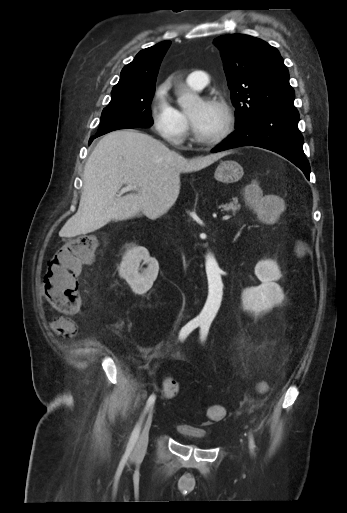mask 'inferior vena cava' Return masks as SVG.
<instances>
[{"instance_id": "602c4592", "label": "inferior vena cava", "mask_w": 347, "mask_h": 513, "mask_svg": "<svg viewBox=\"0 0 347 513\" xmlns=\"http://www.w3.org/2000/svg\"><path fill=\"white\" fill-rule=\"evenodd\" d=\"M173 205V202L172 201H167L164 203L163 207H162V210L164 212L168 211L169 208Z\"/></svg>"}]
</instances>
